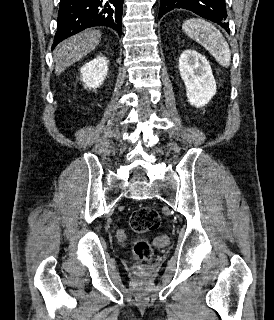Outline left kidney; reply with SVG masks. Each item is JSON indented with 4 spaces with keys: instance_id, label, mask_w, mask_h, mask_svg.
<instances>
[{
    "instance_id": "5707ae66",
    "label": "left kidney",
    "mask_w": 274,
    "mask_h": 320,
    "mask_svg": "<svg viewBox=\"0 0 274 320\" xmlns=\"http://www.w3.org/2000/svg\"><path fill=\"white\" fill-rule=\"evenodd\" d=\"M179 72L189 104L195 108L206 106L215 96L217 86L205 56L196 50H184L179 58Z\"/></svg>"
}]
</instances>
